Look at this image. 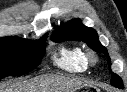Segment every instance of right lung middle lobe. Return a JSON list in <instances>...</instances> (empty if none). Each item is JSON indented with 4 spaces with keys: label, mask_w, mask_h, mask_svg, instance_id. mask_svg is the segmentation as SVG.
<instances>
[{
    "label": "right lung middle lobe",
    "mask_w": 127,
    "mask_h": 92,
    "mask_svg": "<svg viewBox=\"0 0 127 92\" xmlns=\"http://www.w3.org/2000/svg\"><path fill=\"white\" fill-rule=\"evenodd\" d=\"M45 35L37 41L26 39H0V79L19 76L35 69L45 52Z\"/></svg>",
    "instance_id": "right-lung-middle-lobe-1"
}]
</instances>
